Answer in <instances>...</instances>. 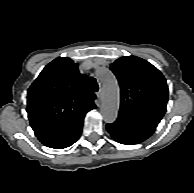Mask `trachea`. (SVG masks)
Instances as JSON below:
<instances>
[{
  "instance_id": "obj_1",
  "label": "trachea",
  "mask_w": 194,
  "mask_h": 193,
  "mask_svg": "<svg viewBox=\"0 0 194 193\" xmlns=\"http://www.w3.org/2000/svg\"><path fill=\"white\" fill-rule=\"evenodd\" d=\"M88 86L93 92H97L99 90L98 83L96 82V79L93 77H90L88 80Z\"/></svg>"
}]
</instances>
